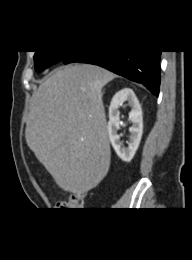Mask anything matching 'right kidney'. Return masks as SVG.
I'll return each mask as SVG.
<instances>
[{
  "instance_id": "obj_1",
  "label": "right kidney",
  "mask_w": 192,
  "mask_h": 260,
  "mask_svg": "<svg viewBox=\"0 0 192 260\" xmlns=\"http://www.w3.org/2000/svg\"><path fill=\"white\" fill-rule=\"evenodd\" d=\"M125 101H128L131 111L129 113V119L132 122L130 127V136L128 141V147H123L118 135L120 129V112L119 106ZM107 131L110 142L116 152V154L124 162H130L138 149L143 133V117L140 103L134 94L133 90L124 88L114 95L109 107V122L107 125Z\"/></svg>"
}]
</instances>
